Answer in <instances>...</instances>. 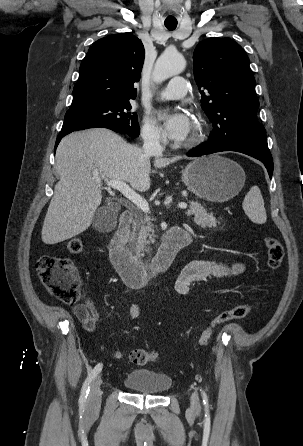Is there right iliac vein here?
Wrapping results in <instances>:
<instances>
[{
  "label": "right iliac vein",
  "mask_w": 303,
  "mask_h": 446,
  "mask_svg": "<svg viewBox=\"0 0 303 446\" xmlns=\"http://www.w3.org/2000/svg\"><path fill=\"white\" fill-rule=\"evenodd\" d=\"M101 384L102 377L98 375L90 386V393L88 397V410L95 412L98 410L101 403Z\"/></svg>",
  "instance_id": "obj_1"
}]
</instances>
